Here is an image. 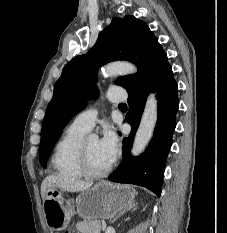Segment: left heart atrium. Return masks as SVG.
<instances>
[{"instance_id": "39dd6f15", "label": "left heart atrium", "mask_w": 227, "mask_h": 233, "mask_svg": "<svg viewBox=\"0 0 227 233\" xmlns=\"http://www.w3.org/2000/svg\"><path fill=\"white\" fill-rule=\"evenodd\" d=\"M99 148L102 153L112 162L118 152V138L114 130L106 126L99 140Z\"/></svg>"}]
</instances>
